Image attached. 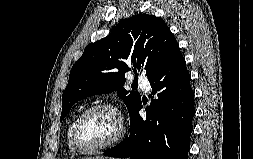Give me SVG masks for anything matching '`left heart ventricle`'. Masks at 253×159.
Wrapping results in <instances>:
<instances>
[{
  "label": "left heart ventricle",
  "instance_id": "obj_1",
  "mask_svg": "<svg viewBox=\"0 0 253 159\" xmlns=\"http://www.w3.org/2000/svg\"><path fill=\"white\" fill-rule=\"evenodd\" d=\"M118 131L117 117L107 109L88 113L81 121L77 139L83 148H92L111 140Z\"/></svg>",
  "mask_w": 253,
  "mask_h": 159
}]
</instances>
